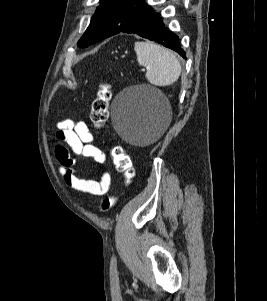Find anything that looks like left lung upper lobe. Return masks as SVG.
<instances>
[{
    "instance_id": "obj_1",
    "label": "left lung upper lobe",
    "mask_w": 267,
    "mask_h": 301,
    "mask_svg": "<svg viewBox=\"0 0 267 301\" xmlns=\"http://www.w3.org/2000/svg\"><path fill=\"white\" fill-rule=\"evenodd\" d=\"M90 25L78 41L81 48L118 34L147 18L154 10L144 0H100Z\"/></svg>"
}]
</instances>
